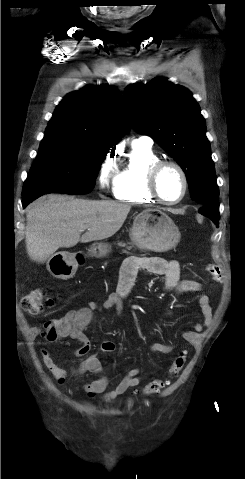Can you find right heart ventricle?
<instances>
[{"label":"right heart ventricle","instance_id":"e07e8e85","mask_svg":"<svg viewBox=\"0 0 245 479\" xmlns=\"http://www.w3.org/2000/svg\"><path fill=\"white\" fill-rule=\"evenodd\" d=\"M159 160L152 145L135 140L131 144L126 163L116 174L113 183L115 198L129 203H155L157 200L149 192L147 181L150 168Z\"/></svg>","mask_w":245,"mask_h":479}]
</instances>
